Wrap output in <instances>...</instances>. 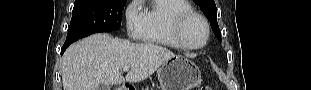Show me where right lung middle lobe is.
<instances>
[{"instance_id":"dd1d6c3e","label":"right lung middle lobe","mask_w":311,"mask_h":90,"mask_svg":"<svg viewBox=\"0 0 311 90\" xmlns=\"http://www.w3.org/2000/svg\"><path fill=\"white\" fill-rule=\"evenodd\" d=\"M126 0H75L64 44L70 45L93 33L117 30Z\"/></svg>"}]
</instances>
